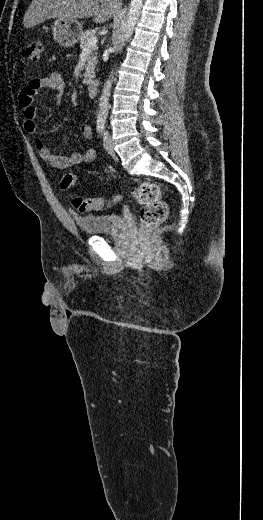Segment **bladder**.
<instances>
[{"mask_svg":"<svg viewBox=\"0 0 263 520\" xmlns=\"http://www.w3.org/2000/svg\"><path fill=\"white\" fill-rule=\"evenodd\" d=\"M73 219L79 230L93 235L117 233L125 226V221L119 214L74 215Z\"/></svg>","mask_w":263,"mask_h":520,"instance_id":"bladder-1","label":"bladder"}]
</instances>
